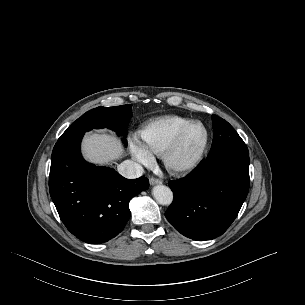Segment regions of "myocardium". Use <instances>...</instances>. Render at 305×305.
I'll use <instances>...</instances> for the list:
<instances>
[{"label": "myocardium", "mask_w": 305, "mask_h": 305, "mask_svg": "<svg viewBox=\"0 0 305 305\" xmlns=\"http://www.w3.org/2000/svg\"><path fill=\"white\" fill-rule=\"evenodd\" d=\"M194 126H201L205 131V139L200 150L190 159L181 161L178 154L181 150L187 133ZM210 143V132L207 126L201 121H192L187 124L176 136L174 141L163 153V161L166 169L174 175H185L195 170L203 161Z\"/></svg>", "instance_id": "1"}]
</instances>
